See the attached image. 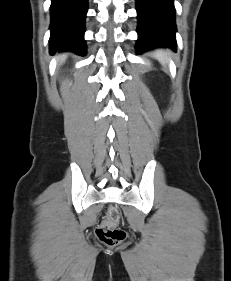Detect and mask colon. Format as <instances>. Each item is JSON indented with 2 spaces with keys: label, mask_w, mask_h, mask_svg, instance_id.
I'll return each mask as SVG.
<instances>
[{
  "label": "colon",
  "mask_w": 231,
  "mask_h": 281,
  "mask_svg": "<svg viewBox=\"0 0 231 281\" xmlns=\"http://www.w3.org/2000/svg\"><path fill=\"white\" fill-rule=\"evenodd\" d=\"M120 213L116 207H110L96 229L98 239L108 246H114L126 238V232L119 227Z\"/></svg>",
  "instance_id": "1"
}]
</instances>
